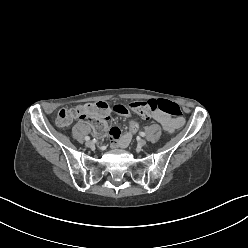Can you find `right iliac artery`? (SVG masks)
Wrapping results in <instances>:
<instances>
[{
  "instance_id": "1",
  "label": "right iliac artery",
  "mask_w": 248,
  "mask_h": 248,
  "mask_svg": "<svg viewBox=\"0 0 248 248\" xmlns=\"http://www.w3.org/2000/svg\"><path fill=\"white\" fill-rule=\"evenodd\" d=\"M85 140H86V141L90 140V137H89V136H86V137H85Z\"/></svg>"
}]
</instances>
